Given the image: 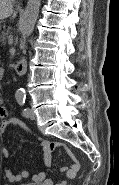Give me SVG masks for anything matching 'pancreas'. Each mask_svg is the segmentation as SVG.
I'll list each match as a JSON object with an SVG mask.
<instances>
[{
	"instance_id": "pancreas-1",
	"label": "pancreas",
	"mask_w": 119,
	"mask_h": 185,
	"mask_svg": "<svg viewBox=\"0 0 119 185\" xmlns=\"http://www.w3.org/2000/svg\"><path fill=\"white\" fill-rule=\"evenodd\" d=\"M9 34H10V33L7 31V32H2V34L0 35L1 43H2L3 45L6 44V41H7V38L9 37Z\"/></svg>"
}]
</instances>
